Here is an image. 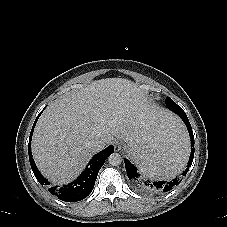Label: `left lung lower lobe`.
I'll return each instance as SVG.
<instances>
[{
	"label": "left lung lower lobe",
	"mask_w": 227,
	"mask_h": 227,
	"mask_svg": "<svg viewBox=\"0 0 227 227\" xmlns=\"http://www.w3.org/2000/svg\"><path fill=\"white\" fill-rule=\"evenodd\" d=\"M166 106L180 116V118L185 123L190 139H191V154L189 157V161L187 163L186 169L181 174L182 176H185L189 170L190 165L193 162L194 158V135L191 128V124L188 120V117L186 113L183 111V109L178 106L171 98L167 97L166 99ZM125 161V167L127 171V176L131 180L132 185L139 191L146 193V194H162L164 192H168L172 190L175 186H177L181 179L176 177L170 181H149L144 180L143 177L140 176L139 171L133 163H131L128 159H124Z\"/></svg>",
	"instance_id": "1"
}]
</instances>
